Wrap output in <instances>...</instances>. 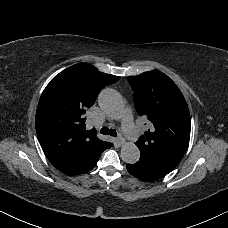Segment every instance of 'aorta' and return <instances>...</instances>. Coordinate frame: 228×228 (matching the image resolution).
Masks as SVG:
<instances>
[{"label":"aorta","mask_w":228,"mask_h":228,"mask_svg":"<svg viewBox=\"0 0 228 228\" xmlns=\"http://www.w3.org/2000/svg\"><path fill=\"white\" fill-rule=\"evenodd\" d=\"M100 108L111 118H119L124 104L119 93L111 88L102 90L98 97ZM140 158L139 148L132 142H126L121 148V159L129 164L136 163Z\"/></svg>","instance_id":"aorta-1"}]
</instances>
